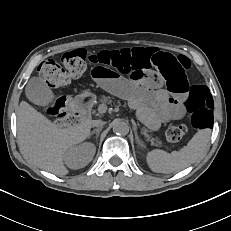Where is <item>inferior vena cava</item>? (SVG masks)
Instances as JSON below:
<instances>
[{"mask_svg": "<svg viewBox=\"0 0 231 231\" xmlns=\"http://www.w3.org/2000/svg\"><path fill=\"white\" fill-rule=\"evenodd\" d=\"M105 124V122L101 121V120H94L93 121V126L94 127H102Z\"/></svg>", "mask_w": 231, "mask_h": 231, "instance_id": "inferior-vena-cava-1", "label": "inferior vena cava"}]
</instances>
